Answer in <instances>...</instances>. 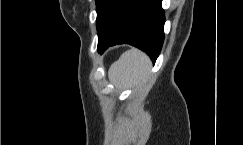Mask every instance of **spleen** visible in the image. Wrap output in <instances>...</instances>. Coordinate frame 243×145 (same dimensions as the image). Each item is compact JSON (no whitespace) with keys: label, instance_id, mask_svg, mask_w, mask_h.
Listing matches in <instances>:
<instances>
[{"label":"spleen","instance_id":"obj_1","mask_svg":"<svg viewBox=\"0 0 243 145\" xmlns=\"http://www.w3.org/2000/svg\"><path fill=\"white\" fill-rule=\"evenodd\" d=\"M151 67L149 57L138 49L123 53L108 71L109 81L118 89L139 85L147 77Z\"/></svg>","mask_w":243,"mask_h":145}]
</instances>
